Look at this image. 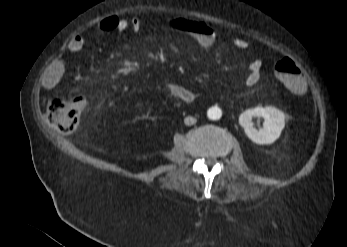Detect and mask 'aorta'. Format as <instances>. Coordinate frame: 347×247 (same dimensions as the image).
Wrapping results in <instances>:
<instances>
[{"instance_id": "762f6f07", "label": "aorta", "mask_w": 347, "mask_h": 247, "mask_svg": "<svg viewBox=\"0 0 347 247\" xmlns=\"http://www.w3.org/2000/svg\"><path fill=\"white\" fill-rule=\"evenodd\" d=\"M221 115L220 109L211 108L208 110V118L211 120H218L221 118Z\"/></svg>"}]
</instances>
